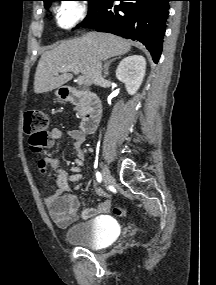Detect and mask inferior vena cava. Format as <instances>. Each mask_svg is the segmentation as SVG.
<instances>
[{
  "instance_id": "1",
  "label": "inferior vena cava",
  "mask_w": 216,
  "mask_h": 285,
  "mask_svg": "<svg viewBox=\"0 0 216 285\" xmlns=\"http://www.w3.org/2000/svg\"><path fill=\"white\" fill-rule=\"evenodd\" d=\"M101 72H102V63L100 60L96 59L93 61V67H92L93 82L96 85H99L103 80Z\"/></svg>"
}]
</instances>
